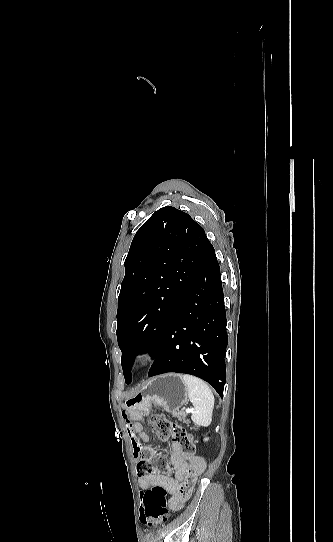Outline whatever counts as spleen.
<instances>
[{"label":"spleen","mask_w":333,"mask_h":542,"mask_svg":"<svg viewBox=\"0 0 333 542\" xmlns=\"http://www.w3.org/2000/svg\"><path fill=\"white\" fill-rule=\"evenodd\" d=\"M180 378L187 388L188 400L193 406L192 422L196 426L208 428L212 422L215 402L212 390H210L208 384H205L199 378H195V376H189V374H183L182 376L180 374Z\"/></svg>","instance_id":"spleen-1"}]
</instances>
